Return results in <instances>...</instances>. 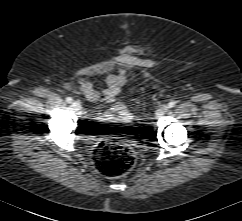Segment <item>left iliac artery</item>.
Here are the masks:
<instances>
[{
  "instance_id": "44dca946",
  "label": "left iliac artery",
  "mask_w": 242,
  "mask_h": 221,
  "mask_svg": "<svg viewBox=\"0 0 242 221\" xmlns=\"http://www.w3.org/2000/svg\"><path fill=\"white\" fill-rule=\"evenodd\" d=\"M176 105V102L175 101H171L168 103V108H172Z\"/></svg>"
}]
</instances>
